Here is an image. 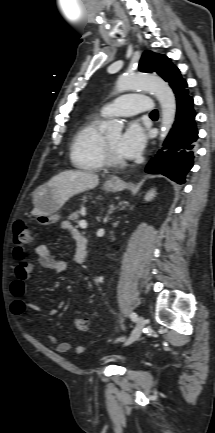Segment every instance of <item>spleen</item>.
<instances>
[{
	"label": "spleen",
	"mask_w": 215,
	"mask_h": 433,
	"mask_svg": "<svg viewBox=\"0 0 215 433\" xmlns=\"http://www.w3.org/2000/svg\"><path fill=\"white\" fill-rule=\"evenodd\" d=\"M155 196V191L154 190H152V191H150L148 194H147V196H146V200H151L153 197Z\"/></svg>",
	"instance_id": "obj_1"
}]
</instances>
